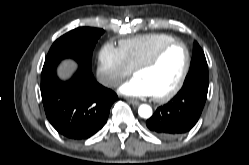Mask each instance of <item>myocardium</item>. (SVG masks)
<instances>
[{
	"label": "myocardium",
	"mask_w": 249,
	"mask_h": 165,
	"mask_svg": "<svg viewBox=\"0 0 249 165\" xmlns=\"http://www.w3.org/2000/svg\"><path fill=\"white\" fill-rule=\"evenodd\" d=\"M180 45L184 48L185 50V54H186V61H185V65L183 68V71L176 83V85L167 93L162 94V95H155L153 96V99L156 102L162 103V102H166L168 100H170L171 98H173L183 87L185 80L188 76L189 70H190V66H191V53L190 50L188 48V46L179 40H174L171 42H168L164 45H162L160 48L157 49V51L147 60L143 61L142 63H140L139 65H137L134 69V74L136 75L138 72L146 70L152 66H154L156 63H158V61L161 59V57L163 56V54L170 48Z\"/></svg>",
	"instance_id": "myocardium-1"
}]
</instances>
